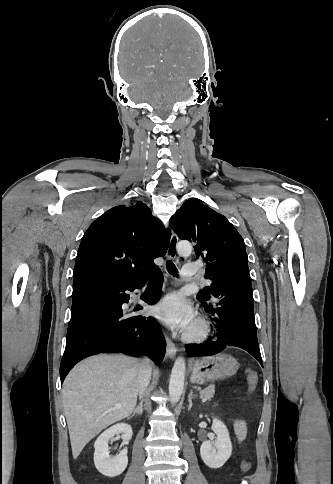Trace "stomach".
Instances as JSON below:
<instances>
[{"mask_svg":"<svg viewBox=\"0 0 333 484\" xmlns=\"http://www.w3.org/2000/svg\"><path fill=\"white\" fill-rule=\"evenodd\" d=\"M190 367L192 371L191 383L201 385L234 375L239 368V364L232 356L219 353L193 360Z\"/></svg>","mask_w":333,"mask_h":484,"instance_id":"stomach-1","label":"stomach"}]
</instances>
